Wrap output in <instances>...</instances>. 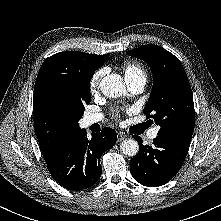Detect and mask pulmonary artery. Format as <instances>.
Segmentation results:
<instances>
[{
    "instance_id": "obj_1",
    "label": "pulmonary artery",
    "mask_w": 221,
    "mask_h": 221,
    "mask_svg": "<svg viewBox=\"0 0 221 221\" xmlns=\"http://www.w3.org/2000/svg\"><path fill=\"white\" fill-rule=\"evenodd\" d=\"M126 82L129 90L134 94L142 92L146 84V80L143 79L127 80ZM101 120H102L101 114L98 113L88 114L84 118V124L85 126H90L92 124L100 122ZM157 133H158V126H155L147 133V138L149 140H153L157 137Z\"/></svg>"
}]
</instances>
